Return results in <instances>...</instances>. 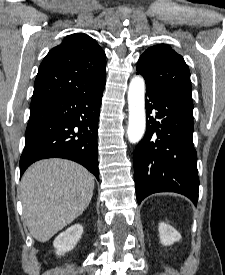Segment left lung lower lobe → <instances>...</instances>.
Masks as SVG:
<instances>
[{"label":"left lung lower lobe","instance_id":"0a47b994","mask_svg":"<svg viewBox=\"0 0 225 275\" xmlns=\"http://www.w3.org/2000/svg\"><path fill=\"white\" fill-rule=\"evenodd\" d=\"M146 109V133L133 153L138 204L150 194L168 191L183 194L196 205L193 106L146 85Z\"/></svg>","mask_w":225,"mask_h":275}]
</instances>
